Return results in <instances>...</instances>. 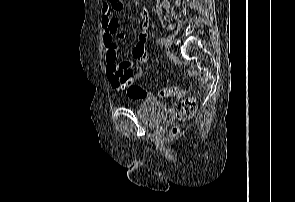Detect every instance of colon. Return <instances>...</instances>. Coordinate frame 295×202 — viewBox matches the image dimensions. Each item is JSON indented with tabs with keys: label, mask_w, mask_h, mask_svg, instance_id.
Returning <instances> with one entry per match:
<instances>
[{
	"label": "colon",
	"mask_w": 295,
	"mask_h": 202,
	"mask_svg": "<svg viewBox=\"0 0 295 202\" xmlns=\"http://www.w3.org/2000/svg\"><path fill=\"white\" fill-rule=\"evenodd\" d=\"M112 5L116 8L122 7L124 0H110ZM121 91L127 93V95L133 99H141L149 96H158V97H170L179 93L180 88L178 86H171L168 88L161 89L155 93L149 92L143 89L141 86L135 83V77L133 74L128 71L121 72V82L119 86ZM197 103L196 99L193 97H188L181 100L177 106V117L180 120H187L191 118L196 112ZM172 132L176 134L178 128L175 127Z\"/></svg>",
	"instance_id": "1"
}]
</instances>
